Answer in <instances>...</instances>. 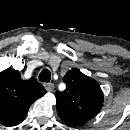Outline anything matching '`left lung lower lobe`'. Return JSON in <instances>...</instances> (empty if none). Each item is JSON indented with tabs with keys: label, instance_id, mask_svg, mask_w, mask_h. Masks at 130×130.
<instances>
[{
	"label": "left lung lower lobe",
	"instance_id": "obj_1",
	"mask_svg": "<svg viewBox=\"0 0 130 130\" xmlns=\"http://www.w3.org/2000/svg\"><path fill=\"white\" fill-rule=\"evenodd\" d=\"M62 121L71 127H76V126H79L82 124V123H79L78 121H71V120L70 121L69 120H62Z\"/></svg>",
	"mask_w": 130,
	"mask_h": 130
}]
</instances>
